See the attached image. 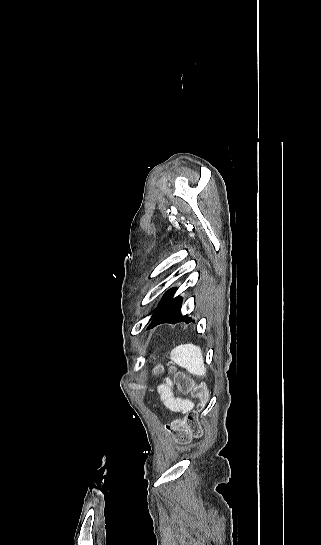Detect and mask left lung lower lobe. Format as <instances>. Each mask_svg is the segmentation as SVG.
I'll return each mask as SVG.
<instances>
[{
    "label": "left lung lower lobe",
    "mask_w": 321,
    "mask_h": 545,
    "mask_svg": "<svg viewBox=\"0 0 321 545\" xmlns=\"http://www.w3.org/2000/svg\"><path fill=\"white\" fill-rule=\"evenodd\" d=\"M176 289L168 290L160 304L154 311V318L149 325L148 329L162 323H177V322H190L191 320L187 316H183L180 312L182 305V298L177 297L172 299Z\"/></svg>",
    "instance_id": "left-lung-lower-lobe-1"
}]
</instances>
